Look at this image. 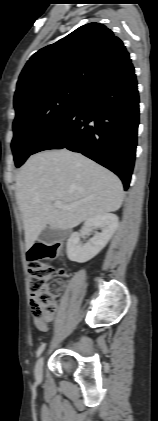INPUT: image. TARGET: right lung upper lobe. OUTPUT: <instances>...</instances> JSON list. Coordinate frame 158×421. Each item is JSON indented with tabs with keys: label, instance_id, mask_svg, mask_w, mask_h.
<instances>
[{
	"label": "right lung upper lobe",
	"instance_id": "obj_1",
	"mask_svg": "<svg viewBox=\"0 0 158 421\" xmlns=\"http://www.w3.org/2000/svg\"><path fill=\"white\" fill-rule=\"evenodd\" d=\"M125 53L123 42L105 25H83L29 59L19 76L14 104L44 90L85 86L98 71Z\"/></svg>",
	"mask_w": 158,
	"mask_h": 421
}]
</instances>
